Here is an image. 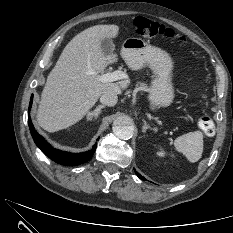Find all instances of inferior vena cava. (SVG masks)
<instances>
[{
  "label": "inferior vena cava",
  "instance_id": "inferior-vena-cava-1",
  "mask_svg": "<svg viewBox=\"0 0 233 233\" xmlns=\"http://www.w3.org/2000/svg\"><path fill=\"white\" fill-rule=\"evenodd\" d=\"M118 101L117 94L111 91L104 92L100 97V102L106 106H114Z\"/></svg>",
  "mask_w": 233,
  "mask_h": 233
}]
</instances>
